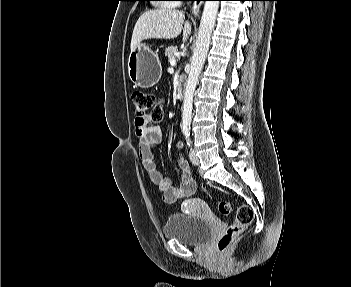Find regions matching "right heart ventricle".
Returning <instances> with one entry per match:
<instances>
[{"label": "right heart ventricle", "instance_id": "right-heart-ventricle-1", "mask_svg": "<svg viewBox=\"0 0 351 287\" xmlns=\"http://www.w3.org/2000/svg\"><path fill=\"white\" fill-rule=\"evenodd\" d=\"M159 7H161V8H168L169 6L165 5V4H161V5H159Z\"/></svg>", "mask_w": 351, "mask_h": 287}]
</instances>
